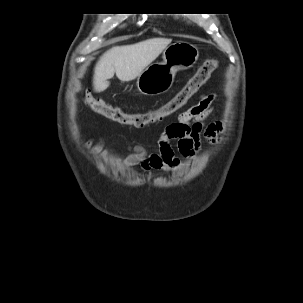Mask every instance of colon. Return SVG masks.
I'll return each instance as SVG.
<instances>
[{"label":"colon","mask_w":303,"mask_h":303,"mask_svg":"<svg viewBox=\"0 0 303 303\" xmlns=\"http://www.w3.org/2000/svg\"><path fill=\"white\" fill-rule=\"evenodd\" d=\"M217 66L218 63L216 60L209 59L204 61L197 72L170 100L147 112H125L105 98L88 97L85 98L84 102L91 111L101 114L115 123L139 128L158 122L183 108L208 82Z\"/></svg>","instance_id":"5ec220e1"}]
</instances>
